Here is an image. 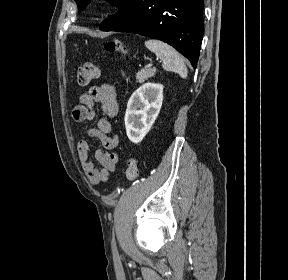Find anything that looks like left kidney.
Wrapping results in <instances>:
<instances>
[{"label":"left kidney","mask_w":288,"mask_h":280,"mask_svg":"<svg viewBox=\"0 0 288 280\" xmlns=\"http://www.w3.org/2000/svg\"><path fill=\"white\" fill-rule=\"evenodd\" d=\"M163 88L161 84L148 82L131 95L124 118L131 142H141L150 131L162 106Z\"/></svg>","instance_id":"5707ae66"}]
</instances>
